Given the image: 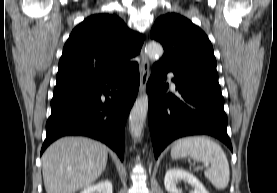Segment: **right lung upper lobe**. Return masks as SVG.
<instances>
[{
	"label": "right lung upper lobe",
	"mask_w": 277,
	"mask_h": 193,
	"mask_svg": "<svg viewBox=\"0 0 277 193\" xmlns=\"http://www.w3.org/2000/svg\"><path fill=\"white\" fill-rule=\"evenodd\" d=\"M144 36L113 14H97L74 28L59 61L57 85L98 78L130 63Z\"/></svg>",
	"instance_id": "1"
}]
</instances>
